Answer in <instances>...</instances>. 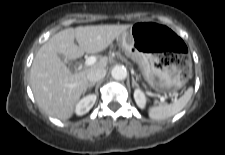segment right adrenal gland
<instances>
[{
    "label": "right adrenal gland",
    "mask_w": 225,
    "mask_h": 155,
    "mask_svg": "<svg viewBox=\"0 0 225 155\" xmlns=\"http://www.w3.org/2000/svg\"><path fill=\"white\" fill-rule=\"evenodd\" d=\"M93 86H95V83H90V84H88V86H87L86 90H87V89H89V90H90Z\"/></svg>",
    "instance_id": "1"
}]
</instances>
